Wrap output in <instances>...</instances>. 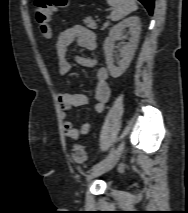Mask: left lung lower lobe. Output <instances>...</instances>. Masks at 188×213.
Wrapping results in <instances>:
<instances>
[{
  "instance_id": "left-lung-lower-lobe-1",
  "label": "left lung lower lobe",
  "mask_w": 188,
  "mask_h": 213,
  "mask_svg": "<svg viewBox=\"0 0 188 213\" xmlns=\"http://www.w3.org/2000/svg\"><path fill=\"white\" fill-rule=\"evenodd\" d=\"M148 10L150 15H152L153 8H154V0H139Z\"/></svg>"
}]
</instances>
